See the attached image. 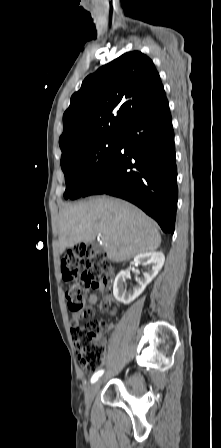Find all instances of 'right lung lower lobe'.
Listing matches in <instances>:
<instances>
[{
    "label": "right lung lower lobe",
    "mask_w": 221,
    "mask_h": 448,
    "mask_svg": "<svg viewBox=\"0 0 221 448\" xmlns=\"http://www.w3.org/2000/svg\"><path fill=\"white\" fill-rule=\"evenodd\" d=\"M109 194L140 207L166 233L174 232L178 188L167 98L129 121L116 148L83 197Z\"/></svg>",
    "instance_id": "1"
}]
</instances>
